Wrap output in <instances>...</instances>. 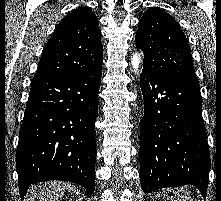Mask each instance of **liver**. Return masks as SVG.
Returning a JSON list of instances; mask_svg holds the SVG:
<instances>
[{
  "instance_id": "liver-1",
  "label": "liver",
  "mask_w": 221,
  "mask_h": 201,
  "mask_svg": "<svg viewBox=\"0 0 221 201\" xmlns=\"http://www.w3.org/2000/svg\"><path fill=\"white\" fill-rule=\"evenodd\" d=\"M70 188L69 183L65 182H48L44 188L34 189V196L38 201H58L59 198L64 196L65 190Z\"/></svg>"
}]
</instances>
